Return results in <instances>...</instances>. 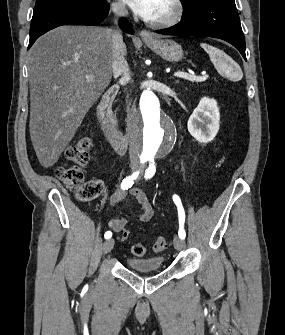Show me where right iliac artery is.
Returning <instances> with one entry per match:
<instances>
[{"mask_svg":"<svg viewBox=\"0 0 285 335\" xmlns=\"http://www.w3.org/2000/svg\"><path fill=\"white\" fill-rule=\"evenodd\" d=\"M138 175H139V171H136L131 176L126 177L121 183V189L127 190L128 188H131V186L134 184V180L137 179ZM111 236H112L111 231H107L104 235L106 239L111 238Z\"/></svg>","mask_w":285,"mask_h":335,"instance_id":"1","label":"right iliac artery"}]
</instances>
